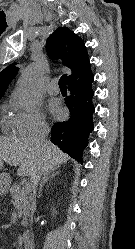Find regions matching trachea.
Wrapping results in <instances>:
<instances>
[{
    "mask_svg": "<svg viewBox=\"0 0 135 249\" xmlns=\"http://www.w3.org/2000/svg\"><path fill=\"white\" fill-rule=\"evenodd\" d=\"M66 82H67V75L64 74V75H62V77L59 80V86L61 89H67Z\"/></svg>",
    "mask_w": 135,
    "mask_h": 249,
    "instance_id": "3493384b",
    "label": "trachea"
}]
</instances>
